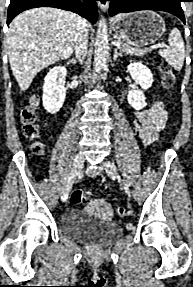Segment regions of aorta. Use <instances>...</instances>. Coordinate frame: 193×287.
<instances>
[{"label": "aorta", "mask_w": 193, "mask_h": 287, "mask_svg": "<svg viewBox=\"0 0 193 287\" xmlns=\"http://www.w3.org/2000/svg\"><path fill=\"white\" fill-rule=\"evenodd\" d=\"M108 55L109 43L107 24L105 19L101 18L98 23L94 50V66L97 73H99L103 68L106 67Z\"/></svg>", "instance_id": "762f6f07"}]
</instances>
